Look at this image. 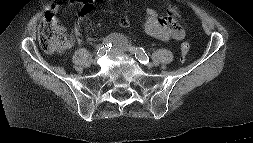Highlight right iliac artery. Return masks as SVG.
I'll return each mask as SVG.
<instances>
[{
    "label": "right iliac artery",
    "instance_id": "right-iliac-artery-1",
    "mask_svg": "<svg viewBox=\"0 0 253 143\" xmlns=\"http://www.w3.org/2000/svg\"><path fill=\"white\" fill-rule=\"evenodd\" d=\"M111 47H112V44L106 42V43H104L103 45H101V46L99 47L97 54H98L99 52H100V53H104V52L110 51Z\"/></svg>",
    "mask_w": 253,
    "mask_h": 143
}]
</instances>
